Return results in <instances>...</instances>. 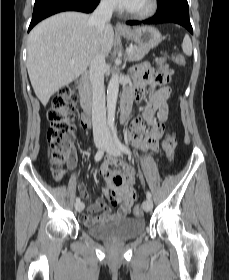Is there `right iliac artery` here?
Here are the masks:
<instances>
[{
	"instance_id": "obj_1",
	"label": "right iliac artery",
	"mask_w": 229,
	"mask_h": 280,
	"mask_svg": "<svg viewBox=\"0 0 229 280\" xmlns=\"http://www.w3.org/2000/svg\"><path fill=\"white\" fill-rule=\"evenodd\" d=\"M103 155H104V148H101L100 150L97 151V153L95 155V161L99 162L102 159ZM79 202H80V198L77 197L76 203H79Z\"/></svg>"
}]
</instances>
